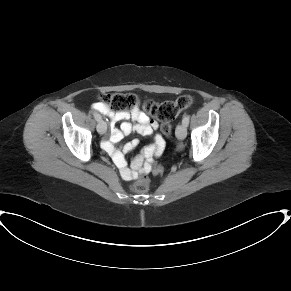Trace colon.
Wrapping results in <instances>:
<instances>
[{
    "mask_svg": "<svg viewBox=\"0 0 291 291\" xmlns=\"http://www.w3.org/2000/svg\"><path fill=\"white\" fill-rule=\"evenodd\" d=\"M101 103L111 109L126 110L137 106V99L130 93H104L101 95ZM193 103L191 96L183 95L174 101H165L161 104L147 103L146 111L158 118L161 122V130L167 138H172V126L170 121L173 120L181 111L189 108ZM153 172L157 175L164 173V167L156 165ZM150 180L142 176L130 184V190L135 193L146 192L149 189Z\"/></svg>",
    "mask_w": 291,
    "mask_h": 291,
    "instance_id": "1",
    "label": "colon"
}]
</instances>
